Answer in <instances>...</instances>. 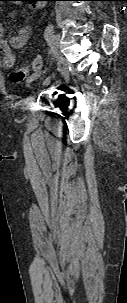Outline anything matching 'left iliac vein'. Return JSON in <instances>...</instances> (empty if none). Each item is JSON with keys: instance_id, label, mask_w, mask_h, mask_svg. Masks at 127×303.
<instances>
[{"instance_id": "1", "label": "left iliac vein", "mask_w": 127, "mask_h": 303, "mask_svg": "<svg viewBox=\"0 0 127 303\" xmlns=\"http://www.w3.org/2000/svg\"><path fill=\"white\" fill-rule=\"evenodd\" d=\"M49 45H50V48L54 54V57L56 58V60L58 62H61V60L63 59L62 57V54L59 50V36L57 34H54L52 36V38L50 39L49 41ZM49 83V79H45L43 81V84H48Z\"/></svg>"}]
</instances>
